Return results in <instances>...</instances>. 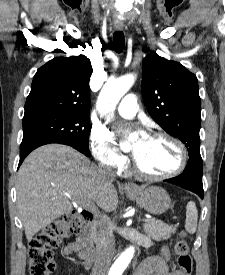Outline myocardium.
<instances>
[{
  "label": "myocardium",
  "mask_w": 225,
  "mask_h": 275,
  "mask_svg": "<svg viewBox=\"0 0 225 275\" xmlns=\"http://www.w3.org/2000/svg\"><path fill=\"white\" fill-rule=\"evenodd\" d=\"M148 137L162 138V139H166V140L170 141L177 148V150L179 152V163H178L177 167L174 170H172L171 172L155 175V174H148V173L144 172L139 167L137 161L134 158L133 159L134 173L143 179L158 181V180H165V179L173 178V177L179 175L181 172H183V170L185 169V167L187 165V161H188L187 150H186L184 144L176 137H174L168 133L160 132V131L153 132Z\"/></svg>",
  "instance_id": "1"
}]
</instances>
